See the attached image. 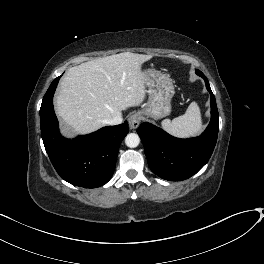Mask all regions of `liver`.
<instances>
[{
	"mask_svg": "<svg viewBox=\"0 0 264 264\" xmlns=\"http://www.w3.org/2000/svg\"><path fill=\"white\" fill-rule=\"evenodd\" d=\"M151 55L124 52L70 68L61 79L55 110L68 137L94 132L145 98L141 66Z\"/></svg>",
	"mask_w": 264,
	"mask_h": 264,
	"instance_id": "6515ba94",
	"label": "liver"
}]
</instances>
